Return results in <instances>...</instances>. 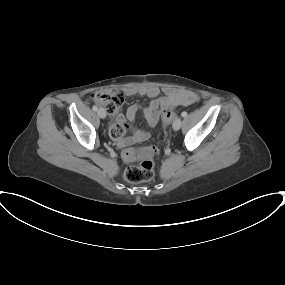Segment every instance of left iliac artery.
I'll return each mask as SVG.
<instances>
[{
	"mask_svg": "<svg viewBox=\"0 0 285 285\" xmlns=\"http://www.w3.org/2000/svg\"><path fill=\"white\" fill-rule=\"evenodd\" d=\"M181 116H182V117H187V113H186V112H182V113H181Z\"/></svg>",
	"mask_w": 285,
	"mask_h": 285,
	"instance_id": "1",
	"label": "left iliac artery"
}]
</instances>
